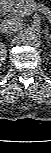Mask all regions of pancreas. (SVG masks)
Returning <instances> with one entry per match:
<instances>
[{
    "label": "pancreas",
    "mask_w": 51,
    "mask_h": 153,
    "mask_svg": "<svg viewBox=\"0 0 51 153\" xmlns=\"http://www.w3.org/2000/svg\"><path fill=\"white\" fill-rule=\"evenodd\" d=\"M36 5L35 0H23L21 2H17L13 7L9 9V14L14 17H24L26 14L25 9L27 7H32Z\"/></svg>",
    "instance_id": "1"
}]
</instances>
